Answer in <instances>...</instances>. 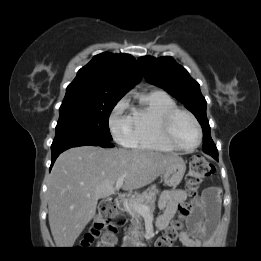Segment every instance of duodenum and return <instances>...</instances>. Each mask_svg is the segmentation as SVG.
<instances>
[{"instance_id":"410a0bca","label":"duodenum","mask_w":261,"mask_h":261,"mask_svg":"<svg viewBox=\"0 0 261 261\" xmlns=\"http://www.w3.org/2000/svg\"><path fill=\"white\" fill-rule=\"evenodd\" d=\"M124 204H125V197L119 196L116 201V206H117L120 214H117V212H116V216H118V219L116 221L112 222L111 225L109 226L112 231L115 230V227H121L125 222V216L123 214Z\"/></svg>"}]
</instances>
